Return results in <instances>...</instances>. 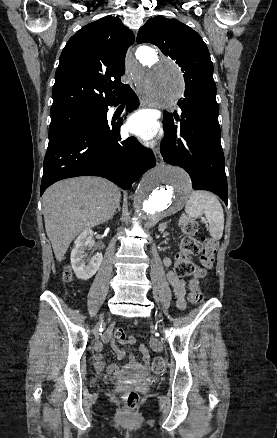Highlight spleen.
<instances>
[{"label": "spleen", "instance_id": "3e777b00", "mask_svg": "<svg viewBox=\"0 0 277 438\" xmlns=\"http://www.w3.org/2000/svg\"><path fill=\"white\" fill-rule=\"evenodd\" d=\"M185 212L191 218H199L204 214L208 220L210 236L213 240H221L224 230L223 208L216 196L210 192H192L186 206Z\"/></svg>", "mask_w": 277, "mask_h": 438}]
</instances>
